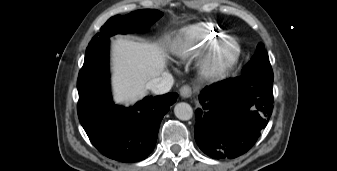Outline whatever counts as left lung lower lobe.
Segmentation results:
<instances>
[{"label":"left lung lower lobe","mask_w":337,"mask_h":171,"mask_svg":"<svg viewBox=\"0 0 337 171\" xmlns=\"http://www.w3.org/2000/svg\"><path fill=\"white\" fill-rule=\"evenodd\" d=\"M273 76L241 74L205 87L197 109L195 140L215 159L247 152L266 127L273 110Z\"/></svg>","instance_id":"left-lung-lower-lobe-1"}]
</instances>
